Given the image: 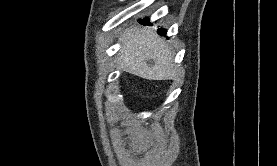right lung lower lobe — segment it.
<instances>
[{
    "mask_svg": "<svg viewBox=\"0 0 277 166\" xmlns=\"http://www.w3.org/2000/svg\"><path fill=\"white\" fill-rule=\"evenodd\" d=\"M140 23L141 24H150L149 19L141 20ZM158 32L161 34H164V35L166 34V30H158Z\"/></svg>",
    "mask_w": 277,
    "mask_h": 166,
    "instance_id": "right-lung-lower-lobe-1",
    "label": "right lung lower lobe"
}]
</instances>
